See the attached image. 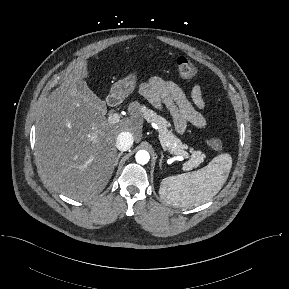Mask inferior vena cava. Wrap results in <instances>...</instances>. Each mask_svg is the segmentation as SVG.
Wrapping results in <instances>:
<instances>
[{
  "label": "inferior vena cava",
  "mask_w": 289,
  "mask_h": 289,
  "mask_svg": "<svg viewBox=\"0 0 289 289\" xmlns=\"http://www.w3.org/2000/svg\"><path fill=\"white\" fill-rule=\"evenodd\" d=\"M133 136L130 132H121L116 141V147L120 151H127L133 145Z\"/></svg>",
  "instance_id": "inferior-vena-cava-1"
}]
</instances>
